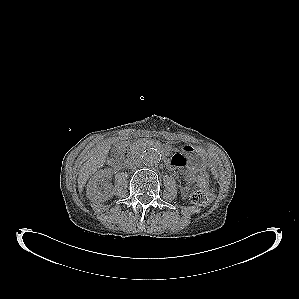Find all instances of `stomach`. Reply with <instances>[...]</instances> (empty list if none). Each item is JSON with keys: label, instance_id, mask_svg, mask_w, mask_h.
<instances>
[{"label": "stomach", "instance_id": "stomach-1", "mask_svg": "<svg viewBox=\"0 0 299 299\" xmlns=\"http://www.w3.org/2000/svg\"><path fill=\"white\" fill-rule=\"evenodd\" d=\"M183 154L187 157L188 166L191 169H201L205 166V154L193 144H186L183 147Z\"/></svg>", "mask_w": 299, "mask_h": 299}]
</instances>
